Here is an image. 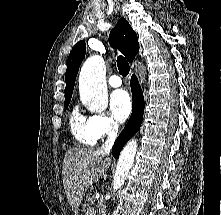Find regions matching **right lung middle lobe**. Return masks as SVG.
I'll return each mask as SVG.
<instances>
[{
  "label": "right lung middle lobe",
  "mask_w": 221,
  "mask_h": 215,
  "mask_svg": "<svg viewBox=\"0 0 221 215\" xmlns=\"http://www.w3.org/2000/svg\"><path fill=\"white\" fill-rule=\"evenodd\" d=\"M70 100H71V99H67V100H65V102H64V106H65L66 109L68 108V105H69V103H70Z\"/></svg>",
  "instance_id": "right-lung-middle-lobe-1"
}]
</instances>
